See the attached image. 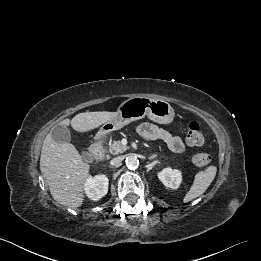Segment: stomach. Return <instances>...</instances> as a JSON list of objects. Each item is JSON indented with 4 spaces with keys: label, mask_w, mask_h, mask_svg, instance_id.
<instances>
[{
    "label": "stomach",
    "mask_w": 261,
    "mask_h": 261,
    "mask_svg": "<svg viewBox=\"0 0 261 261\" xmlns=\"http://www.w3.org/2000/svg\"><path fill=\"white\" fill-rule=\"evenodd\" d=\"M174 115L171 105L163 99L143 95L133 96L120 104L117 116L103 126V130L97 138L119 130L130 122L140 120L145 116L154 122L168 124L173 121Z\"/></svg>",
    "instance_id": "1"
}]
</instances>
